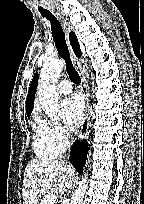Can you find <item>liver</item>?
Returning <instances> with one entry per match:
<instances>
[{"instance_id":"liver-1","label":"liver","mask_w":144,"mask_h":204,"mask_svg":"<svg viewBox=\"0 0 144 204\" xmlns=\"http://www.w3.org/2000/svg\"><path fill=\"white\" fill-rule=\"evenodd\" d=\"M75 169L63 161L33 159L28 162L23 179V204H37L48 191L64 193L74 183Z\"/></svg>"}]
</instances>
